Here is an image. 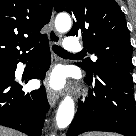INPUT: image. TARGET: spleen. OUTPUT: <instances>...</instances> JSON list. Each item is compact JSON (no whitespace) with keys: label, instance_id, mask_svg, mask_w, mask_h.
<instances>
[{"label":"spleen","instance_id":"1","mask_svg":"<svg viewBox=\"0 0 136 136\" xmlns=\"http://www.w3.org/2000/svg\"><path fill=\"white\" fill-rule=\"evenodd\" d=\"M85 136H118V135H114V134H99V133H95V134H87Z\"/></svg>","mask_w":136,"mask_h":136}]
</instances>
